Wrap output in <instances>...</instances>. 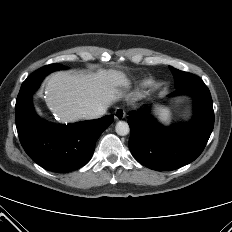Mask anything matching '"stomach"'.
<instances>
[{"instance_id":"1","label":"stomach","mask_w":232,"mask_h":232,"mask_svg":"<svg viewBox=\"0 0 232 232\" xmlns=\"http://www.w3.org/2000/svg\"><path fill=\"white\" fill-rule=\"evenodd\" d=\"M156 114L158 115L161 122L168 124L170 120V111L167 108L158 107L156 109Z\"/></svg>"}]
</instances>
